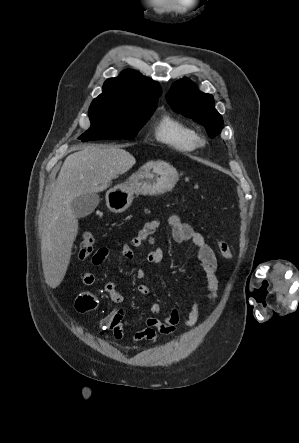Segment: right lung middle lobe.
I'll list each match as a JSON object with an SVG mask.
<instances>
[{
	"label": "right lung middle lobe",
	"instance_id": "dd1d6c3e",
	"mask_svg": "<svg viewBox=\"0 0 299 443\" xmlns=\"http://www.w3.org/2000/svg\"><path fill=\"white\" fill-rule=\"evenodd\" d=\"M157 104L136 105L93 100L89 108L91 127L79 139H132L154 112Z\"/></svg>",
	"mask_w": 299,
	"mask_h": 443
}]
</instances>
